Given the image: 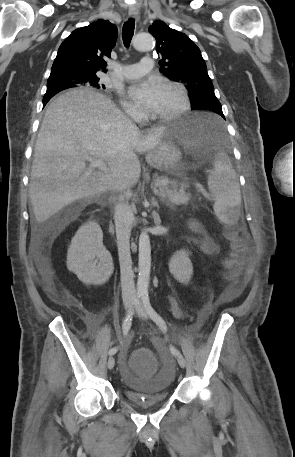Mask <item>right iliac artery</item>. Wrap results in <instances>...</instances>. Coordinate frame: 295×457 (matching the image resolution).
Listing matches in <instances>:
<instances>
[{
  "mask_svg": "<svg viewBox=\"0 0 295 457\" xmlns=\"http://www.w3.org/2000/svg\"><path fill=\"white\" fill-rule=\"evenodd\" d=\"M139 297H140L139 295L136 297L135 304L139 301ZM133 314H134V308L129 311V313L127 314V316L124 319L123 326H122V330H123L124 336L127 335L128 331H129V329L131 327ZM117 349L118 348L110 349L109 350V355L115 354L117 352Z\"/></svg>",
  "mask_w": 295,
  "mask_h": 457,
  "instance_id": "82829eb1",
  "label": "right iliac artery"
}]
</instances>
